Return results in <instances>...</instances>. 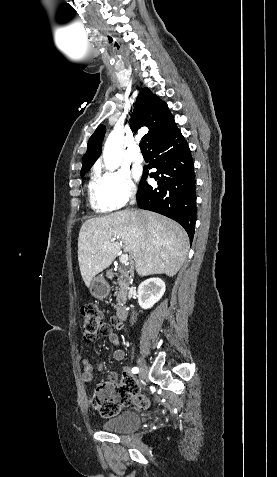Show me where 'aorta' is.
Listing matches in <instances>:
<instances>
[{"label": "aorta", "instance_id": "obj_1", "mask_svg": "<svg viewBox=\"0 0 277 477\" xmlns=\"http://www.w3.org/2000/svg\"><path fill=\"white\" fill-rule=\"evenodd\" d=\"M123 144L124 130L120 125H116L109 134L103 150V159L108 170L114 171L120 166L124 152Z\"/></svg>", "mask_w": 277, "mask_h": 477}]
</instances>
